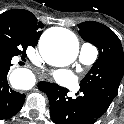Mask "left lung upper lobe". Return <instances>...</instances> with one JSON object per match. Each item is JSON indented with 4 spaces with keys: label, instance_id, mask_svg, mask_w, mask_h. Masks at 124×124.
Wrapping results in <instances>:
<instances>
[{
    "label": "left lung upper lobe",
    "instance_id": "left-lung-upper-lobe-1",
    "mask_svg": "<svg viewBox=\"0 0 124 124\" xmlns=\"http://www.w3.org/2000/svg\"><path fill=\"white\" fill-rule=\"evenodd\" d=\"M83 40L95 45L99 57L80 84V91L109 107L124 74V54L117 35L107 26L87 21L78 25Z\"/></svg>",
    "mask_w": 124,
    "mask_h": 124
}]
</instances>
